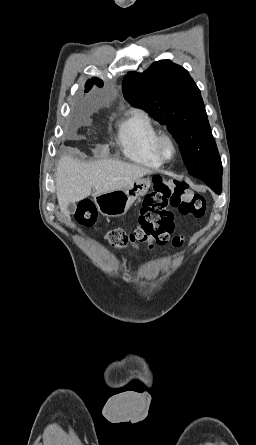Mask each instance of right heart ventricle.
Wrapping results in <instances>:
<instances>
[{
  "label": "right heart ventricle",
  "instance_id": "obj_1",
  "mask_svg": "<svg viewBox=\"0 0 256 445\" xmlns=\"http://www.w3.org/2000/svg\"><path fill=\"white\" fill-rule=\"evenodd\" d=\"M159 130L151 117L141 110H133L119 125L117 140L123 154L147 167L158 168L162 161L155 152Z\"/></svg>",
  "mask_w": 256,
  "mask_h": 445
}]
</instances>
